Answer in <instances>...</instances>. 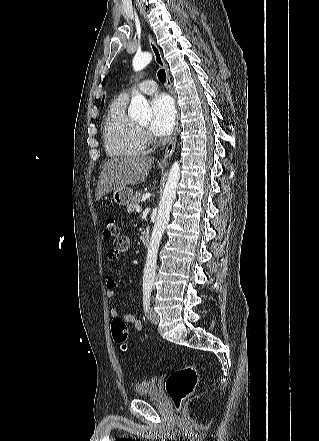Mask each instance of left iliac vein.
I'll use <instances>...</instances> for the list:
<instances>
[{
    "label": "left iliac vein",
    "mask_w": 319,
    "mask_h": 441,
    "mask_svg": "<svg viewBox=\"0 0 319 441\" xmlns=\"http://www.w3.org/2000/svg\"><path fill=\"white\" fill-rule=\"evenodd\" d=\"M149 319L153 324H157L159 322V316L153 308H150Z\"/></svg>",
    "instance_id": "obj_1"
}]
</instances>
